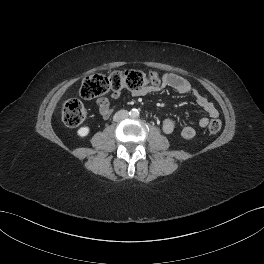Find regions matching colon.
<instances>
[{"instance_id":"5ec220e1","label":"colon","mask_w":264,"mask_h":264,"mask_svg":"<svg viewBox=\"0 0 264 264\" xmlns=\"http://www.w3.org/2000/svg\"><path fill=\"white\" fill-rule=\"evenodd\" d=\"M160 83V76L155 71L147 74L137 70L92 74L83 79L80 96L84 99H93L107 92H120L123 89L139 91L145 87L158 86ZM62 118L67 126H78L86 118V109L80 100L67 99L62 105ZM207 129L210 134H217L221 129V121L212 119Z\"/></svg>"}]
</instances>
